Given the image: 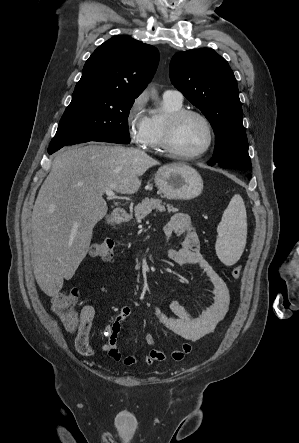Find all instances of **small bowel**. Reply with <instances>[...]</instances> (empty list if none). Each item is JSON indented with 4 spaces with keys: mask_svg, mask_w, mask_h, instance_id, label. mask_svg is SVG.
Returning a JSON list of instances; mask_svg holds the SVG:
<instances>
[{
    "mask_svg": "<svg viewBox=\"0 0 299 443\" xmlns=\"http://www.w3.org/2000/svg\"><path fill=\"white\" fill-rule=\"evenodd\" d=\"M163 231L168 242L176 235L181 237L179 247H169L167 249V257L178 265L198 266L213 285V302L200 314H193L177 301L170 304L171 314H166L157 308H153L151 311L152 317L163 329L187 341L182 344L180 349L172 351V358L180 361L192 350L189 342H196L212 333L218 322L225 316L229 308L230 292L224 279L203 255L198 236L188 215L182 213L174 215L165 224ZM80 313L87 327L84 331L78 333L75 344L81 354L90 356L95 352V348L90 341V331L95 311L92 307L85 306ZM130 316V308L121 307L114 321L105 326L103 334L107 340L100 346L101 352L106 353L115 361H122L127 366L135 365L138 359L134 355L123 356L117 347V339L124 322ZM144 339L148 345H155V340L150 333L145 332ZM165 358L166 356L162 351L152 349L144 357L143 362L145 365H152L165 360Z\"/></svg>",
    "mask_w": 299,
    "mask_h": 443,
    "instance_id": "1",
    "label": "small bowel"
}]
</instances>
